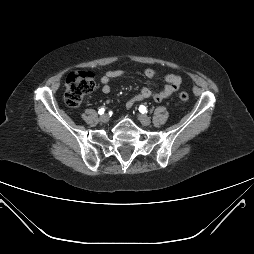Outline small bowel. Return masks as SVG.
<instances>
[{"instance_id": "c3829d8e", "label": "small bowel", "mask_w": 254, "mask_h": 254, "mask_svg": "<svg viewBox=\"0 0 254 254\" xmlns=\"http://www.w3.org/2000/svg\"><path fill=\"white\" fill-rule=\"evenodd\" d=\"M123 75V71L119 69H112L107 71L101 78V90L104 94H108L111 91L110 81L112 79L119 78ZM144 75L147 78H153L155 76V70L147 68L144 70ZM165 86L158 92L151 91L148 87H143L138 94L129 99L126 103V108L130 109L136 102L153 99L156 102H161L175 93L182 84V78L179 75L168 74L165 76Z\"/></svg>"}]
</instances>
